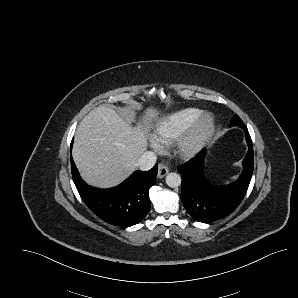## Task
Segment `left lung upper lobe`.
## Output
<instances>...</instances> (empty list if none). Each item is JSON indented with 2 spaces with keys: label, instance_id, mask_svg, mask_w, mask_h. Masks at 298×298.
Instances as JSON below:
<instances>
[{
  "label": "left lung upper lobe",
  "instance_id": "5c2ea615",
  "mask_svg": "<svg viewBox=\"0 0 298 298\" xmlns=\"http://www.w3.org/2000/svg\"><path fill=\"white\" fill-rule=\"evenodd\" d=\"M244 123L243 121L240 119V117L238 115H234V117L231 120V126H243Z\"/></svg>",
  "mask_w": 298,
  "mask_h": 298
}]
</instances>
